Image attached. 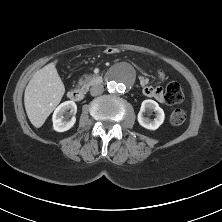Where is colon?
<instances>
[{"label":"colon","instance_id":"5ec220e1","mask_svg":"<svg viewBox=\"0 0 222 222\" xmlns=\"http://www.w3.org/2000/svg\"><path fill=\"white\" fill-rule=\"evenodd\" d=\"M184 94L179 83L171 81L165 88V100L170 104L179 103L183 100ZM186 120V112L183 109H175L170 116L172 125H181Z\"/></svg>","mask_w":222,"mask_h":222}]
</instances>
